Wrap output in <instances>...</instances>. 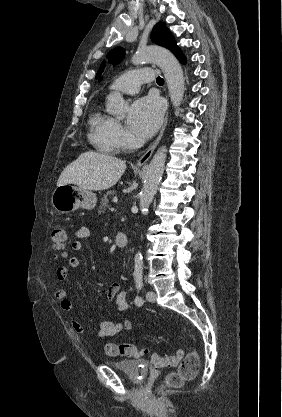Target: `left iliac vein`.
<instances>
[{
  "instance_id": "left-iliac-vein-1",
  "label": "left iliac vein",
  "mask_w": 282,
  "mask_h": 417,
  "mask_svg": "<svg viewBox=\"0 0 282 417\" xmlns=\"http://www.w3.org/2000/svg\"><path fill=\"white\" fill-rule=\"evenodd\" d=\"M146 299L149 302L154 303L156 301V293L153 292V291H148L147 294H146Z\"/></svg>"
}]
</instances>
